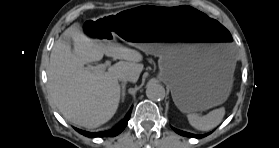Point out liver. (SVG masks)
Instances as JSON below:
<instances>
[{
	"instance_id": "liver-1",
	"label": "liver",
	"mask_w": 279,
	"mask_h": 148,
	"mask_svg": "<svg viewBox=\"0 0 279 148\" xmlns=\"http://www.w3.org/2000/svg\"><path fill=\"white\" fill-rule=\"evenodd\" d=\"M73 40L71 45L63 39ZM104 54L119 59L108 71L93 72L84 65L100 61ZM143 56L136 50L89 37L73 24L52 48L47 69L51 99L63 117L88 129L108 122L120 101L119 77L136 83L143 70Z\"/></svg>"
}]
</instances>
